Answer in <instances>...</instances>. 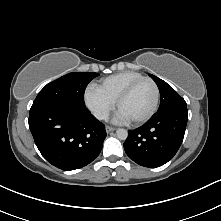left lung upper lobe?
I'll return each mask as SVG.
<instances>
[{
	"label": "left lung upper lobe",
	"instance_id": "5c2ea615",
	"mask_svg": "<svg viewBox=\"0 0 221 221\" xmlns=\"http://www.w3.org/2000/svg\"><path fill=\"white\" fill-rule=\"evenodd\" d=\"M149 75L157 84L161 95L160 106L155 115L174 108L187 107L185 100L165 81L152 74Z\"/></svg>",
	"mask_w": 221,
	"mask_h": 221
}]
</instances>
